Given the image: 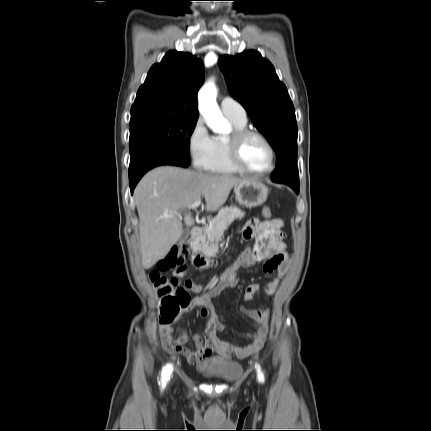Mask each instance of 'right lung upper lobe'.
Instances as JSON below:
<instances>
[{
    "mask_svg": "<svg viewBox=\"0 0 431 431\" xmlns=\"http://www.w3.org/2000/svg\"><path fill=\"white\" fill-rule=\"evenodd\" d=\"M203 65L189 53L169 51L154 64L139 88L131 118L158 114L198 118L197 92L203 83Z\"/></svg>",
    "mask_w": 431,
    "mask_h": 431,
    "instance_id": "obj_1",
    "label": "right lung upper lobe"
}]
</instances>
